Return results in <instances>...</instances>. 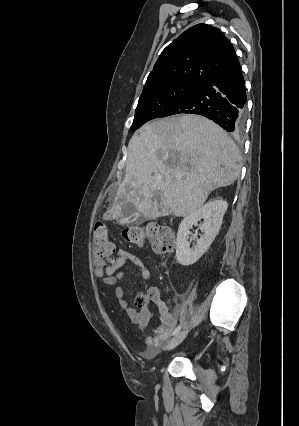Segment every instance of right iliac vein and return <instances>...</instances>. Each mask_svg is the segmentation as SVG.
<instances>
[{
    "mask_svg": "<svg viewBox=\"0 0 299 426\" xmlns=\"http://www.w3.org/2000/svg\"><path fill=\"white\" fill-rule=\"evenodd\" d=\"M187 333H188V327H186L180 333L176 334L167 344L166 350H171L174 347H176L179 343H181L183 339L186 337Z\"/></svg>",
    "mask_w": 299,
    "mask_h": 426,
    "instance_id": "1",
    "label": "right iliac vein"
}]
</instances>
